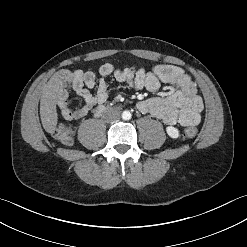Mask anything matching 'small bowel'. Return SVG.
Returning <instances> with one entry per match:
<instances>
[{
  "label": "small bowel",
  "instance_id": "small-bowel-1",
  "mask_svg": "<svg viewBox=\"0 0 247 247\" xmlns=\"http://www.w3.org/2000/svg\"><path fill=\"white\" fill-rule=\"evenodd\" d=\"M94 71L61 70L58 73L59 90L57 108L63 120L74 121L94 112L108 99L106 78L113 75L115 80L131 89L146 88L157 90L161 83L171 84L177 90L166 97H152L137 103V109L144 114L162 120L167 125L180 124L195 126L200 123L203 102L197 94V88L191 78L178 66L160 64L150 70L126 67L116 68L105 63ZM95 89L94 92L91 90ZM70 91L77 93L84 105L72 109L69 104Z\"/></svg>",
  "mask_w": 247,
  "mask_h": 247
}]
</instances>
